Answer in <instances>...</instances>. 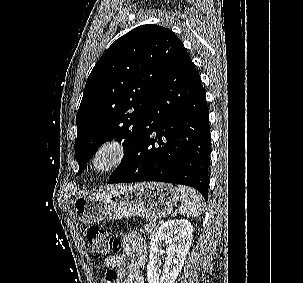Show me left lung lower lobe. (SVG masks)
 <instances>
[{
    "mask_svg": "<svg viewBox=\"0 0 303 283\" xmlns=\"http://www.w3.org/2000/svg\"><path fill=\"white\" fill-rule=\"evenodd\" d=\"M209 154L205 91L184 48L150 101L130 157L108 183L182 184L197 189L207 200Z\"/></svg>",
    "mask_w": 303,
    "mask_h": 283,
    "instance_id": "obj_1",
    "label": "left lung lower lobe"
}]
</instances>
